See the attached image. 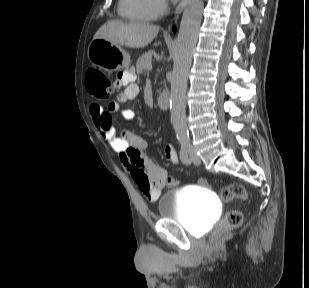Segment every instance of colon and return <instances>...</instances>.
I'll list each match as a JSON object with an SVG mask.
<instances>
[{
  "instance_id": "5ec220e1",
  "label": "colon",
  "mask_w": 309,
  "mask_h": 288,
  "mask_svg": "<svg viewBox=\"0 0 309 288\" xmlns=\"http://www.w3.org/2000/svg\"><path fill=\"white\" fill-rule=\"evenodd\" d=\"M86 88L95 97L107 98L114 90L119 89L120 86L117 84L113 85L103 72L90 68L86 74ZM199 182L201 186H207V181L204 178H201ZM166 183L168 186H176L178 181L175 178H168ZM220 197L225 202H230L235 199L246 200L247 192L242 184L232 183L221 188ZM242 221L243 214L240 211H229L222 222L220 233L238 227Z\"/></svg>"
}]
</instances>
